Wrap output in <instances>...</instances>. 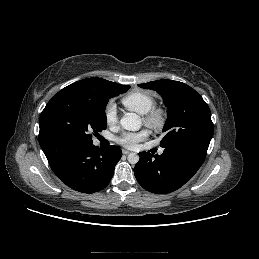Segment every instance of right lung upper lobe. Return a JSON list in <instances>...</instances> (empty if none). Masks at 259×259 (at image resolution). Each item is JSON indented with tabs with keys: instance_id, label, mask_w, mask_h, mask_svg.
Returning <instances> with one entry per match:
<instances>
[{
	"instance_id": "cb5924a9",
	"label": "right lung upper lobe",
	"mask_w": 259,
	"mask_h": 259,
	"mask_svg": "<svg viewBox=\"0 0 259 259\" xmlns=\"http://www.w3.org/2000/svg\"><path fill=\"white\" fill-rule=\"evenodd\" d=\"M113 83L114 82H110L101 78H87V79H83L75 83H72L65 88L83 92V93H98L101 89L109 87Z\"/></svg>"
}]
</instances>
